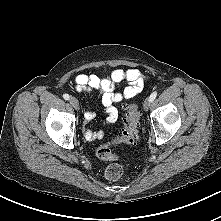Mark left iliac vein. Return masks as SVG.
Here are the masks:
<instances>
[{
    "instance_id": "obj_1",
    "label": "left iliac vein",
    "mask_w": 221,
    "mask_h": 221,
    "mask_svg": "<svg viewBox=\"0 0 221 221\" xmlns=\"http://www.w3.org/2000/svg\"><path fill=\"white\" fill-rule=\"evenodd\" d=\"M150 104H151V101H150L149 98H147V99L144 101V103H143V108H144L145 111H147V110L149 109Z\"/></svg>"
}]
</instances>
